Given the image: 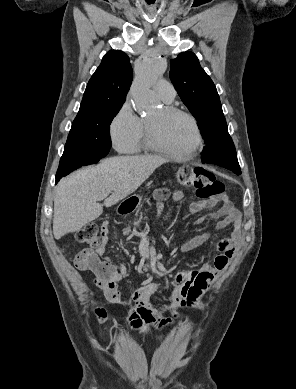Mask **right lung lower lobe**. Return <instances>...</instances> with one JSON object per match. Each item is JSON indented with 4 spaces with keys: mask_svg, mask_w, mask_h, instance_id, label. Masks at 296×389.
<instances>
[{
    "mask_svg": "<svg viewBox=\"0 0 296 389\" xmlns=\"http://www.w3.org/2000/svg\"><path fill=\"white\" fill-rule=\"evenodd\" d=\"M71 171L70 170H65V171H57V174H56V182L57 183L60 178H62L63 176H66L67 174H69Z\"/></svg>",
    "mask_w": 296,
    "mask_h": 389,
    "instance_id": "right-lung-lower-lobe-1",
    "label": "right lung lower lobe"
}]
</instances>
